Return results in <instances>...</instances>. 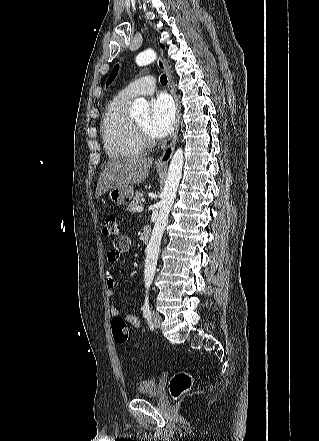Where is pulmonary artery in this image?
<instances>
[{"instance_id":"obj_1","label":"pulmonary artery","mask_w":319,"mask_h":441,"mask_svg":"<svg viewBox=\"0 0 319 441\" xmlns=\"http://www.w3.org/2000/svg\"><path fill=\"white\" fill-rule=\"evenodd\" d=\"M155 88V79L151 76H144L130 83L119 94L122 97L131 100L132 98L140 95L152 94Z\"/></svg>"}]
</instances>
